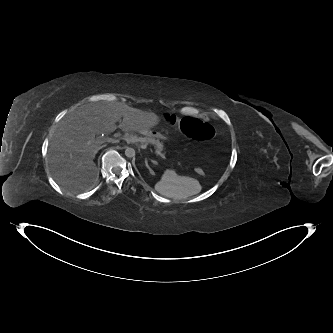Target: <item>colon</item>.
<instances>
[{
    "instance_id": "obj_1",
    "label": "colon",
    "mask_w": 333,
    "mask_h": 333,
    "mask_svg": "<svg viewBox=\"0 0 333 333\" xmlns=\"http://www.w3.org/2000/svg\"><path fill=\"white\" fill-rule=\"evenodd\" d=\"M159 121L163 127L173 131L180 129L186 136L202 142L213 140L217 134L215 127L208 122H203L192 117L182 119L179 115L169 111L163 112L160 115ZM196 173L199 175L204 174L200 168L196 169Z\"/></svg>"
}]
</instances>
